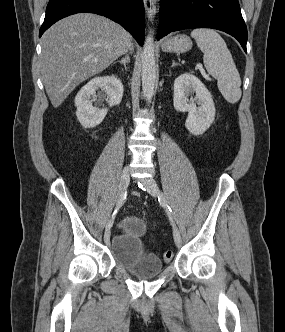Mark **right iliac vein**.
Instances as JSON below:
<instances>
[{
  "label": "right iliac vein",
  "instance_id": "1",
  "mask_svg": "<svg viewBox=\"0 0 285 332\" xmlns=\"http://www.w3.org/2000/svg\"><path fill=\"white\" fill-rule=\"evenodd\" d=\"M128 185H129V169L124 168L122 175H121L120 184H119V194L125 192ZM110 235H111L110 229L106 230V232L104 234V241L106 244L109 243V241H110Z\"/></svg>",
  "mask_w": 285,
  "mask_h": 332
}]
</instances>
